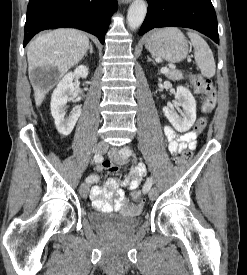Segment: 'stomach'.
I'll return each instance as SVG.
<instances>
[{
    "label": "stomach",
    "mask_w": 247,
    "mask_h": 275,
    "mask_svg": "<svg viewBox=\"0 0 247 275\" xmlns=\"http://www.w3.org/2000/svg\"><path fill=\"white\" fill-rule=\"evenodd\" d=\"M146 49L153 55L170 63L182 61L188 54V42L177 28L155 31L146 41Z\"/></svg>",
    "instance_id": "stomach-1"
}]
</instances>
